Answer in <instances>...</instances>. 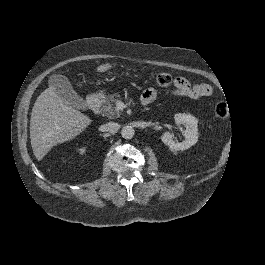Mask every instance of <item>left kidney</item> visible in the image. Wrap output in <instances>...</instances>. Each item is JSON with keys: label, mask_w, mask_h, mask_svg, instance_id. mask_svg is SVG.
Returning a JSON list of instances; mask_svg holds the SVG:
<instances>
[{"label": "left kidney", "mask_w": 265, "mask_h": 265, "mask_svg": "<svg viewBox=\"0 0 265 265\" xmlns=\"http://www.w3.org/2000/svg\"><path fill=\"white\" fill-rule=\"evenodd\" d=\"M174 119L177 125H185V140L182 142H175L172 134L165 132L161 136L162 142L168 145L172 151L186 150L196 144L198 141V119L190 114L182 113L175 114Z\"/></svg>", "instance_id": "left-kidney-1"}]
</instances>
